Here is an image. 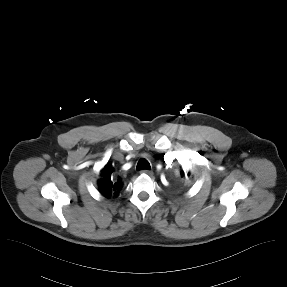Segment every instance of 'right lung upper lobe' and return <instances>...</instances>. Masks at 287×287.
<instances>
[{
    "instance_id": "obj_1",
    "label": "right lung upper lobe",
    "mask_w": 287,
    "mask_h": 287,
    "mask_svg": "<svg viewBox=\"0 0 287 287\" xmlns=\"http://www.w3.org/2000/svg\"><path fill=\"white\" fill-rule=\"evenodd\" d=\"M111 170L106 165L101 170V179L98 181V187L100 193L105 197H110L112 194H118V191L121 189V182H115L113 177H111Z\"/></svg>"
}]
</instances>
